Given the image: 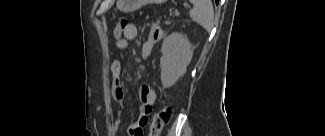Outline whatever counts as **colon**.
I'll return each mask as SVG.
<instances>
[{"label":"colon","instance_id":"5ec220e1","mask_svg":"<svg viewBox=\"0 0 325 136\" xmlns=\"http://www.w3.org/2000/svg\"><path fill=\"white\" fill-rule=\"evenodd\" d=\"M129 22L126 19H121L114 29L115 42L123 37V31L128 26ZM171 109L169 107L161 108L153 117L149 127L147 136H158L162 128L169 122L171 117Z\"/></svg>","mask_w":325,"mask_h":136}]
</instances>
